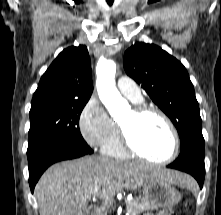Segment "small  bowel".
<instances>
[{"mask_svg":"<svg viewBox=\"0 0 221 215\" xmlns=\"http://www.w3.org/2000/svg\"><path fill=\"white\" fill-rule=\"evenodd\" d=\"M144 215H153V214H151V213H147V214H144Z\"/></svg>","mask_w":221,"mask_h":215,"instance_id":"1","label":"small bowel"}]
</instances>
